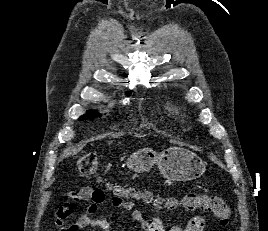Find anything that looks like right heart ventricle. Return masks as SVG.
<instances>
[{
  "label": "right heart ventricle",
  "instance_id": "1",
  "mask_svg": "<svg viewBox=\"0 0 268 231\" xmlns=\"http://www.w3.org/2000/svg\"><path fill=\"white\" fill-rule=\"evenodd\" d=\"M164 110L168 113V114H177L178 110L176 108H174L172 105L166 104L164 105Z\"/></svg>",
  "mask_w": 268,
  "mask_h": 231
}]
</instances>
